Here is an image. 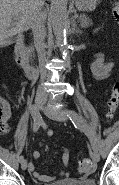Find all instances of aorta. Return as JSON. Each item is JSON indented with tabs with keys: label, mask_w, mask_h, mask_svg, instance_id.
Instances as JSON below:
<instances>
[{
	"label": "aorta",
	"mask_w": 119,
	"mask_h": 185,
	"mask_svg": "<svg viewBox=\"0 0 119 185\" xmlns=\"http://www.w3.org/2000/svg\"><path fill=\"white\" fill-rule=\"evenodd\" d=\"M50 18L55 38L60 45L66 66H70V54L66 41L67 21V0H51Z\"/></svg>",
	"instance_id": "obj_1"
}]
</instances>
